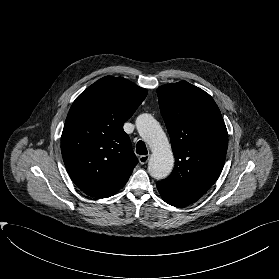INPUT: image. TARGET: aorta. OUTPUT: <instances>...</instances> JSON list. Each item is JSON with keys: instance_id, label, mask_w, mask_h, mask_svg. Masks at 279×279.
<instances>
[{"instance_id": "aorta-1", "label": "aorta", "mask_w": 279, "mask_h": 279, "mask_svg": "<svg viewBox=\"0 0 279 279\" xmlns=\"http://www.w3.org/2000/svg\"><path fill=\"white\" fill-rule=\"evenodd\" d=\"M136 127L152 150L148 164L149 174L155 179L166 178L173 169L174 156L160 124L150 114H141L136 120Z\"/></svg>"}]
</instances>
